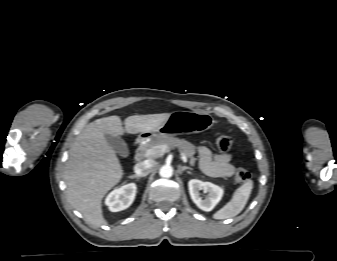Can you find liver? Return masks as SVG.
<instances>
[{
	"mask_svg": "<svg viewBox=\"0 0 337 261\" xmlns=\"http://www.w3.org/2000/svg\"><path fill=\"white\" fill-rule=\"evenodd\" d=\"M170 113L133 115L125 119L109 116L89 123L77 136L66 162L64 179L68 202L93 226L107 224L102 212V199L118 184L123 167L105 134L120 136L125 132H152L163 124Z\"/></svg>",
	"mask_w": 337,
	"mask_h": 261,
	"instance_id": "obj_1",
	"label": "liver"
}]
</instances>
